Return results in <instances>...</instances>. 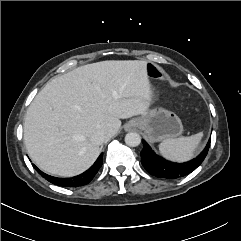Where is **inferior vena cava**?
<instances>
[{
  "instance_id": "obj_1",
  "label": "inferior vena cava",
  "mask_w": 241,
  "mask_h": 241,
  "mask_svg": "<svg viewBox=\"0 0 241 241\" xmlns=\"http://www.w3.org/2000/svg\"><path fill=\"white\" fill-rule=\"evenodd\" d=\"M90 140L96 145H101L106 140L105 133L103 131H96L91 135Z\"/></svg>"
}]
</instances>
